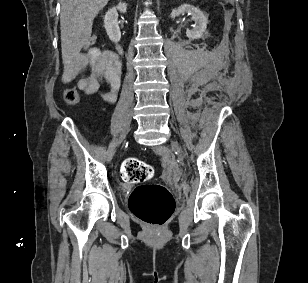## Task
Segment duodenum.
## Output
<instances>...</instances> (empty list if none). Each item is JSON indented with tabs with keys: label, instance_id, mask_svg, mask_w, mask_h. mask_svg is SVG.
Segmentation results:
<instances>
[{
	"label": "duodenum",
	"instance_id": "1",
	"mask_svg": "<svg viewBox=\"0 0 308 283\" xmlns=\"http://www.w3.org/2000/svg\"><path fill=\"white\" fill-rule=\"evenodd\" d=\"M116 47H117L118 51L122 53V51H123L122 45L118 43V44H116Z\"/></svg>",
	"mask_w": 308,
	"mask_h": 283
}]
</instances>
